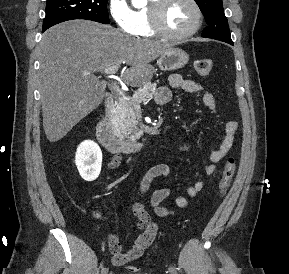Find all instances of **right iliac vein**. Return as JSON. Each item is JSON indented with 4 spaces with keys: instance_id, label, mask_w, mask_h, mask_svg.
Masks as SVG:
<instances>
[{
    "instance_id": "right-iliac-vein-1",
    "label": "right iliac vein",
    "mask_w": 289,
    "mask_h": 274,
    "mask_svg": "<svg viewBox=\"0 0 289 274\" xmlns=\"http://www.w3.org/2000/svg\"><path fill=\"white\" fill-rule=\"evenodd\" d=\"M101 274H108V269L107 268H102Z\"/></svg>"
}]
</instances>
